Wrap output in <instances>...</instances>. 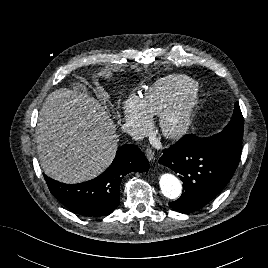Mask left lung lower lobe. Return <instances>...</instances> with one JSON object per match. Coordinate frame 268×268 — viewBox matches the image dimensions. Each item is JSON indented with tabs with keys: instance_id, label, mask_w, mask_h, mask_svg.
<instances>
[{
	"instance_id": "obj_1",
	"label": "left lung lower lobe",
	"mask_w": 268,
	"mask_h": 268,
	"mask_svg": "<svg viewBox=\"0 0 268 268\" xmlns=\"http://www.w3.org/2000/svg\"><path fill=\"white\" fill-rule=\"evenodd\" d=\"M239 160L240 155L208 145L195 135H185L164 149L159 159L160 164L171 168L183 181L181 197L169 206L183 213L201 209L228 184Z\"/></svg>"
}]
</instances>
